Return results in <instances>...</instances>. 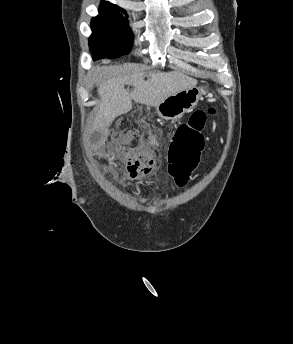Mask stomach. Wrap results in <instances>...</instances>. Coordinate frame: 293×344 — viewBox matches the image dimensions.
I'll return each instance as SVG.
<instances>
[{"label":"stomach","mask_w":293,"mask_h":344,"mask_svg":"<svg viewBox=\"0 0 293 344\" xmlns=\"http://www.w3.org/2000/svg\"><path fill=\"white\" fill-rule=\"evenodd\" d=\"M203 93L204 87H193L180 91L158 104L156 111L164 120L177 121L198 104Z\"/></svg>","instance_id":"1"}]
</instances>
